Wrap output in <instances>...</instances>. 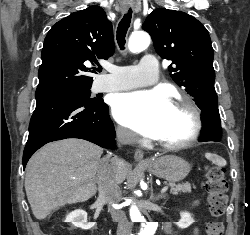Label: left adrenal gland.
<instances>
[{"label": "left adrenal gland", "mask_w": 250, "mask_h": 235, "mask_svg": "<svg viewBox=\"0 0 250 235\" xmlns=\"http://www.w3.org/2000/svg\"><path fill=\"white\" fill-rule=\"evenodd\" d=\"M150 198H151V200L157 202L160 199H165L166 195L165 194H161V195H158V196L155 197L154 194H153V189L151 187V196H150Z\"/></svg>", "instance_id": "obj_1"}]
</instances>
